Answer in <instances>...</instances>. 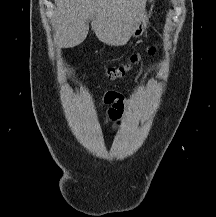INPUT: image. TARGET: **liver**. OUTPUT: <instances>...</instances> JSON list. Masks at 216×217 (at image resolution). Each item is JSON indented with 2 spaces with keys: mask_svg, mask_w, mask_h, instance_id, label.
I'll list each match as a JSON object with an SVG mask.
<instances>
[{
  "mask_svg": "<svg viewBox=\"0 0 216 217\" xmlns=\"http://www.w3.org/2000/svg\"><path fill=\"white\" fill-rule=\"evenodd\" d=\"M146 1L55 0V39L63 47L79 45L86 39L91 21L101 42L111 46L124 45L144 14Z\"/></svg>",
  "mask_w": 216,
  "mask_h": 217,
  "instance_id": "6515ba94",
  "label": "liver"
}]
</instances>
